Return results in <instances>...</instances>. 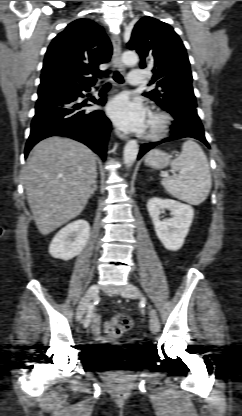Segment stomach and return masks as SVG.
Masks as SVG:
<instances>
[{
    "label": "stomach",
    "instance_id": "obj_1",
    "mask_svg": "<svg viewBox=\"0 0 242 416\" xmlns=\"http://www.w3.org/2000/svg\"><path fill=\"white\" fill-rule=\"evenodd\" d=\"M171 156L167 153L154 149L151 150L145 157V163L156 168L161 169L169 164Z\"/></svg>",
    "mask_w": 242,
    "mask_h": 416
}]
</instances>
